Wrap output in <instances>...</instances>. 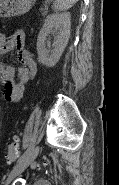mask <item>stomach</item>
Wrapping results in <instances>:
<instances>
[{"instance_id":"stomach-1","label":"stomach","mask_w":119,"mask_h":185,"mask_svg":"<svg viewBox=\"0 0 119 185\" xmlns=\"http://www.w3.org/2000/svg\"><path fill=\"white\" fill-rule=\"evenodd\" d=\"M36 0H0V17H11L26 13Z\"/></svg>"}]
</instances>
